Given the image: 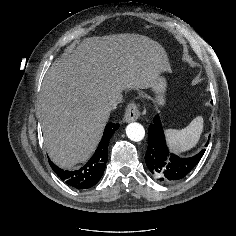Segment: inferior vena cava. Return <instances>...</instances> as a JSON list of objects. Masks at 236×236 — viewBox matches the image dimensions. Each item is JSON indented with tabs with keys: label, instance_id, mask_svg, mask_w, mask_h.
Returning <instances> with one entry per match:
<instances>
[{
	"label": "inferior vena cava",
	"instance_id": "602c4592",
	"mask_svg": "<svg viewBox=\"0 0 236 236\" xmlns=\"http://www.w3.org/2000/svg\"><path fill=\"white\" fill-rule=\"evenodd\" d=\"M122 100V97L119 98L118 100H115L113 103H112V108H115L117 106V104H119Z\"/></svg>",
	"mask_w": 236,
	"mask_h": 236
}]
</instances>
